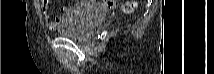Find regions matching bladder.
<instances>
[{"label":"bladder","instance_id":"bladder-1","mask_svg":"<svg viewBox=\"0 0 214 74\" xmlns=\"http://www.w3.org/2000/svg\"><path fill=\"white\" fill-rule=\"evenodd\" d=\"M105 19V13L92 2H81L73 7L61 21L57 32L66 38L85 40L93 27Z\"/></svg>","mask_w":214,"mask_h":74}]
</instances>
